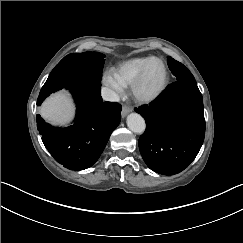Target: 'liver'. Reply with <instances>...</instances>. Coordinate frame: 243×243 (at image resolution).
I'll return each instance as SVG.
<instances>
[{
  "label": "liver",
  "instance_id": "1",
  "mask_svg": "<svg viewBox=\"0 0 243 243\" xmlns=\"http://www.w3.org/2000/svg\"><path fill=\"white\" fill-rule=\"evenodd\" d=\"M72 107L64 92L49 98L41 107L40 114L54 122H60L71 116Z\"/></svg>",
  "mask_w": 243,
  "mask_h": 243
}]
</instances>
